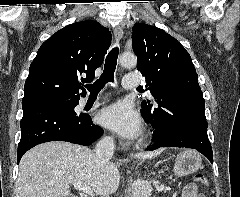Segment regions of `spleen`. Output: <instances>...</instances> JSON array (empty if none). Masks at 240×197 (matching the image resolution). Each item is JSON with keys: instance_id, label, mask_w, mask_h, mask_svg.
<instances>
[{"instance_id": "3e777b00", "label": "spleen", "mask_w": 240, "mask_h": 197, "mask_svg": "<svg viewBox=\"0 0 240 197\" xmlns=\"http://www.w3.org/2000/svg\"><path fill=\"white\" fill-rule=\"evenodd\" d=\"M147 194H148V190H145V192H144V195H146V196H147Z\"/></svg>"}]
</instances>
